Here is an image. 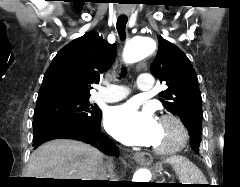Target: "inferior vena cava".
<instances>
[{"label": "inferior vena cava", "instance_id": "inferior-vena-cava-1", "mask_svg": "<svg viewBox=\"0 0 240 187\" xmlns=\"http://www.w3.org/2000/svg\"><path fill=\"white\" fill-rule=\"evenodd\" d=\"M107 177H108L107 171H106L105 166L103 165L98 171L96 180H107Z\"/></svg>", "mask_w": 240, "mask_h": 187}]
</instances>
